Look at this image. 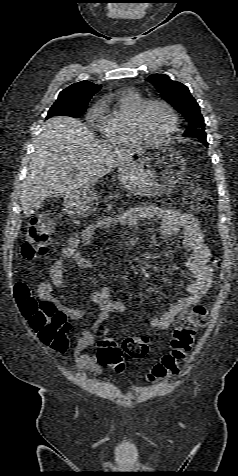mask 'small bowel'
I'll return each instance as SVG.
<instances>
[{"label":"small bowel","instance_id":"1","mask_svg":"<svg viewBox=\"0 0 238 476\" xmlns=\"http://www.w3.org/2000/svg\"><path fill=\"white\" fill-rule=\"evenodd\" d=\"M158 219L159 232L167 239H174L180 233L183 245L191 254L186 261L193 278L188 285V295L171 304L163 313L153 317L149 325L159 331L168 329L175 318L185 310L197 305L212 286L213 270L209 266L211 252L204 241L203 232L198 220L190 213L175 208L155 205H141L128 209L118 216H105L97 219L81 232L72 235L67 246L62 250L64 258L73 261L82 269L92 268V263L80 252V247L88 246L94 232L113 225H122L128 229H136L141 220ZM64 266L61 259H56L47 269L44 279L37 287V295L41 301L51 303L66 318L78 320L86 313L85 307L71 308L63 305L53 295L54 289H62ZM88 302L98 307L99 313L94 321L86 327L82 336L73 346L75 364L80 370L100 373L102 366L97 354L85 350L96 343L100 329L113 313H125L127 306L111 297L110 289L104 285L99 291L88 297Z\"/></svg>","mask_w":238,"mask_h":476}]
</instances>
